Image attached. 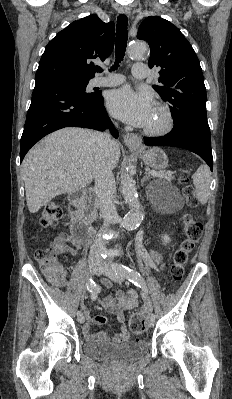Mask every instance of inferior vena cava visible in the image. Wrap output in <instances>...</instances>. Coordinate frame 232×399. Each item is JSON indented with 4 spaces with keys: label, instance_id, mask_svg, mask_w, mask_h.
<instances>
[{
    "label": "inferior vena cava",
    "instance_id": "inferior-vena-cava-1",
    "mask_svg": "<svg viewBox=\"0 0 232 399\" xmlns=\"http://www.w3.org/2000/svg\"><path fill=\"white\" fill-rule=\"evenodd\" d=\"M93 138L104 148V154L100 160V164H98V168H95V188L98 200L100 201L101 213L104 217V225L106 227L109 223H115L117 217L116 200L114 198L116 182L110 166L106 164V160L109 156L108 148L109 146H113L114 142L111 140L109 132H95ZM104 248H106L105 239L93 241L91 247H89V262L93 263L96 261L101 263L102 259L98 256V252H102Z\"/></svg>",
    "mask_w": 232,
    "mask_h": 399
}]
</instances>
